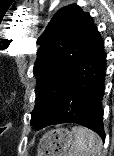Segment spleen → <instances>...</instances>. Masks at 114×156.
Returning <instances> with one entry per match:
<instances>
[{
    "label": "spleen",
    "instance_id": "1",
    "mask_svg": "<svg viewBox=\"0 0 114 156\" xmlns=\"http://www.w3.org/2000/svg\"><path fill=\"white\" fill-rule=\"evenodd\" d=\"M75 142L68 156H102V139L93 131L76 126L72 129Z\"/></svg>",
    "mask_w": 114,
    "mask_h": 156
}]
</instances>
